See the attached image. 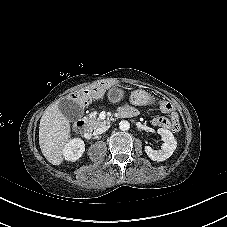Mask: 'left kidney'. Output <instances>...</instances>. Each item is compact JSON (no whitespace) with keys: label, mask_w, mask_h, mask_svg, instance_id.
Segmentation results:
<instances>
[{"label":"left kidney","mask_w":227,"mask_h":227,"mask_svg":"<svg viewBox=\"0 0 227 227\" xmlns=\"http://www.w3.org/2000/svg\"><path fill=\"white\" fill-rule=\"evenodd\" d=\"M158 134L164 141L161 149L154 150L150 146H145V152L151 160L160 162L168 159L173 154L177 147V141L172 132L167 129L159 128Z\"/></svg>","instance_id":"obj_1"}]
</instances>
